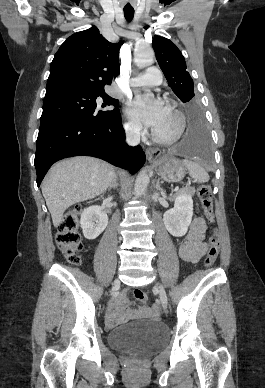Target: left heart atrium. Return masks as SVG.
Instances as JSON below:
<instances>
[{"label": "left heart atrium", "mask_w": 265, "mask_h": 388, "mask_svg": "<svg viewBox=\"0 0 265 388\" xmlns=\"http://www.w3.org/2000/svg\"><path fill=\"white\" fill-rule=\"evenodd\" d=\"M166 109L161 100H152L145 95L136 96L129 104L127 113L134 119L151 126H156Z\"/></svg>", "instance_id": "left-heart-atrium-1"}]
</instances>
